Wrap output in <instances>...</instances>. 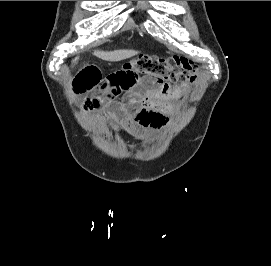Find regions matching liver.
<instances>
[{
	"label": "liver",
	"mask_w": 271,
	"mask_h": 266,
	"mask_svg": "<svg viewBox=\"0 0 271 266\" xmlns=\"http://www.w3.org/2000/svg\"><path fill=\"white\" fill-rule=\"evenodd\" d=\"M137 53L138 52L134 50H117L112 52L95 51L94 55L105 61L117 62L127 58H131ZM77 59L78 58H75L74 61H76Z\"/></svg>",
	"instance_id": "6515ba94"
}]
</instances>
